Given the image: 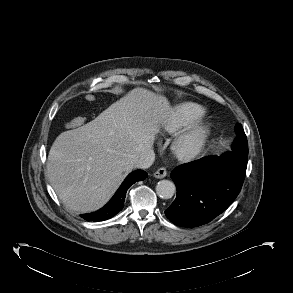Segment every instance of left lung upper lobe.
Masks as SVG:
<instances>
[{
	"label": "left lung upper lobe",
	"instance_id": "5c2ea615",
	"mask_svg": "<svg viewBox=\"0 0 293 293\" xmlns=\"http://www.w3.org/2000/svg\"><path fill=\"white\" fill-rule=\"evenodd\" d=\"M235 131L237 132V138H246V135L244 133V130L241 126V124H237L236 127H235Z\"/></svg>",
	"mask_w": 293,
	"mask_h": 293
}]
</instances>
